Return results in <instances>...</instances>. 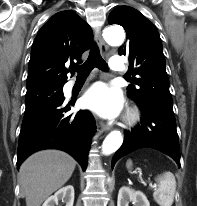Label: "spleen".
<instances>
[{
	"instance_id": "1",
	"label": "spleen",
	"mask_w": 197,
	"mask_h": 206,
	"mask_svg": "<svg viewBox=\"0 0 197 206\" xmlns=\"http://www.w3.org/2000/svg\"><path fill=\"white\" fill-rule=\"evenodd\" d=\"M127 168L132 166V161L129 159L126 163ZM158 188L154 189L153 197L156 203L160 206H171L174 201L176 191L175 176L171 172H165L156 178Z\"/></svg>"
}]
</instances>
